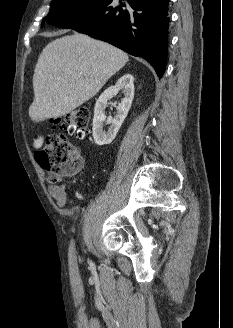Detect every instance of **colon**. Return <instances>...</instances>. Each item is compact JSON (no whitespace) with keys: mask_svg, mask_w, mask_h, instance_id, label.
<instances>
[{"mask_svg":"<svg viewBox=\"0 0 233 328\" xmlns=\"http://www.w3.org/2000/svg\"><path fill=\"white\" fill-rule=\"evenodd\" d=\"M89 121V110L78 108L52 122L82 140L88 133ZM35 158L37 163L49 173V179L53 183L58 182L61 177L76 173L82 164L80 149L71 144L62 133L49 136L44 147L35 153Z\"/></svg>","mask_w":233,"mask_h":328,"instance_id":"1","label":"colon"}]
</instances>
